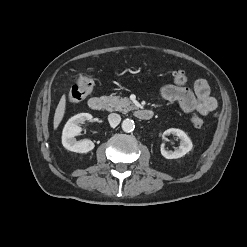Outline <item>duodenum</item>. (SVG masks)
<instances>
[{
  "instance_id": "410a0bca",
  "label": "duodenum",
  "mask_w": 247,
  "mask_h": 247,
  "mask_svg": "<svg viewBox=\"0 0 247 247\" xmlns=\"http://www.w3.org/2000/svg\"><path fill=\"white\" fill-rule=\"evenodd\" d=\"M89 107L94 111H104L107 107V101L104 97H93L89 100ZM135 115L140 120H150L154 116L151 109L140 108L135 111Z\"/></svg>"
}]
</instances>
